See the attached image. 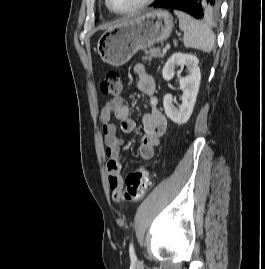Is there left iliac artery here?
<instances>
[{
  "label": "left iliac artery",
  "instance_id": "1",
  "mask_svg": "<svg viewBox=\"0 0 265 269\" xmlns=\"http://www.w3.org/2000/svg\"><path fill=\"white\" fill-rule=\"evenodd\" d=\"M129 253L132 260H137L132 242L129 244Z\"/></svg>",
  "mask_w": 265,
  "mask_h": 269
}]
</instances>
